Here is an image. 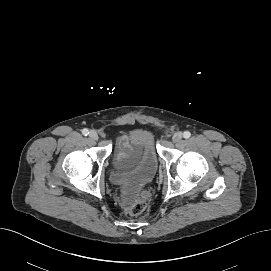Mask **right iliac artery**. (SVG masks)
<instances>
[{
    "mask_svg": "<svg viewBox=\"0 0 271 271\" xmlns=\"http://www.w3.org/2000/svg\"><path fill=\"white\" fill-rule=\"evenodd\" d=\"M82 134L85 135V136H87V135L89 134L88 129H86V128L83 129V130H82Z\"/></svg>",
    "mask_w": 271,
    "mask_h": 271,
    "instance_id": "right-iliac-artery-1",
    "label": "right iliac artery"
}]
</instances>
